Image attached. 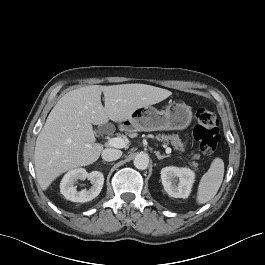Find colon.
Returning <instances> with one entry per match:
<instances>
[{
    "label": "colon",
    "instance_id": "obj_1",
    "mask_svg": "<svg viewBox=\"0 0 265 265\" xmlns=\"http://www.w3.org/2000/svg\"><path fill=\"white\" fill-rule=\"evenodd\" d=\"M196 121L197 124L193 131L194 137L198 141L203 154L212 156L220 139L219 122L215 114L206 108L198 109Z\"/></svg>",
    "mask_w": 265,
    "mask_h": 265
}]
</instances>
